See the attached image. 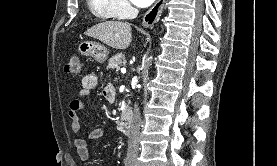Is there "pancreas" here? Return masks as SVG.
I'll use <instances>...</instances> for the list:
<instances>
[{
	"instance_id": "cf45deb5",
	"label": "pancreas",
	"mask_w": 277,
	"mask_h": 166,
	"mask_svg": "<svg viewBox=\"0 0 277 166\" xmlns=\"http://www.w3.org/2000/svg\"><path fill=\"white\" fill-rule=\"evenodd\" d=\"M125 63H126V60L124 58V55H122V54H116V55L112 56L109 59L107 68L108 69L116 70V72H118L120 70V67L122 65H124ZM126 111H127V107H125L124 112H126Z\"/></svg>"
}]
</instances>
